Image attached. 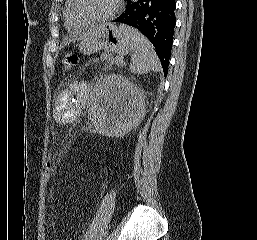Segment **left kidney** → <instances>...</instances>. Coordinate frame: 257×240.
I'll return each mask as SVG.
<instances>
[{
	"instance_id": "left-kidney-1",
	"label": "left kidney",
	"mask_w": 257,
	"mask_h": 240,
	"mask_svg": "<svg viewBox=\"0 0 257 240\" xmlns=\"http://www.w3.org/2000/svg\"><path fill=\"white\" fill-rule=\"evenodd\" d=\"M89 115L97 132L112 137L124 135L142 121L144 96L126 77L106 75L93 88Z\"/></svg>"
}]
</instances>
